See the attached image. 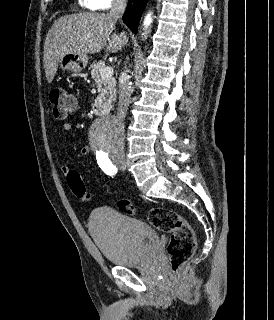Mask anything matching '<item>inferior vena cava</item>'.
I'll use <instances>...</instances> for the list:
<instances>
[{
    "instance_id": "inferior-vena-cava-1",
    "label": "inferior vena cava",
    "mask_w": 274,
    "mask_h": 320,
    "mask_svg": "<svg viewBox=\"0 0 274 320\" xmlns=\"http://www.w3.org/2000/svg\"><path fill=\"white\" fill-rule=\"evenodd\" d=\"M126 2L127 0H114L109 16L116 18V20H120L125 12ZM121 38L127 40L124 34H121ZM129 78L130 76H128L127 72H122L121 76H119V102L117 114L119 120H124V118H126L127 110L130 104L131 94Z\"/></svg>"
}]
</instances>
